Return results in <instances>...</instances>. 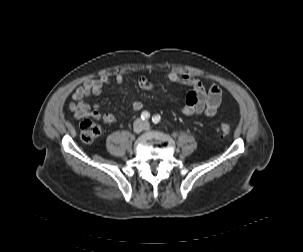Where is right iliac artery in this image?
<instances>
[{"instance_id":"1","label":"right iliac artery","mask_w":303,"mask_h":252,"mask_svg":"<svg viewBox=\"0 0 303 252\" xmlns=\"http://www.w3.org/2000/svg\"><path fill=\"white\" fill-rule=\"evenodd\" d=\"M149 117H150V114L147 111L142 112V114H141L142 120H147V119H149Z\"/></svg>"}]
</instances>
